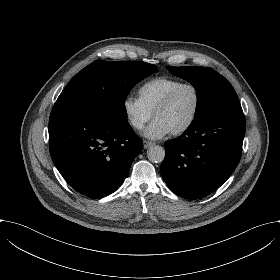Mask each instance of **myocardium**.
<instances>
[{
	"mask_svg": "<svg viewBox=\"0 0 280 280\" xmlns=\"http://www.w3.org/2000/svg\"><path fill=\"white\" fill-rule=\"evenodd\" d=\"M186 86L193 87L196 92V97H197L196 108L193 113V116L186 124H184L183 126L172 131L176 135L185 133L189 129H191L194 126V124L196 123V121L200 115L201 108H202V102H203V96H202V91H201V88L199 87V85L192 81L181 82L178 86H176L173 90H171L168 93V95L157 105V107L155 108V110L153 112V115L156 116L160 111L167 108L172 103V101L175 98V96L177 95V93Z\"/></svg>",
	"mask_w": 280,
	"mask_h": 280,
	"instance_id": "myocardium-1",
	"label": "myocardium"
}]
</instances>
